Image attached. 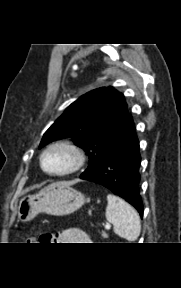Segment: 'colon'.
<instances>
[{"label":"colon","instance_id":"1","mask_svg":"<svg viewBox=\"0 0 181 288\" xmlns=\"http://www.w3.org/2000/svg\"><path fill=\"white\" fill-rule=\"evenodd\" d=\"M45 240H46V237H45V236H42V237L40 238V241H41V242H45ZM29 241H30V242H34L35 239H34V238H30Z\"/></svg>","mask_w":181,"mask_h":288}]
</instances>
